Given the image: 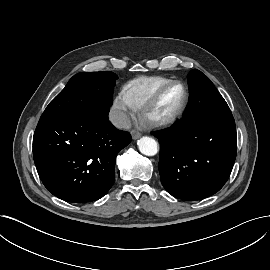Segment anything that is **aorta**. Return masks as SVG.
I'll use <instances>...</instances> for the list:
<instances>
[{
  "label": "aorta",
  "mask_w": 270,
  "mask_h": 270,
  "mask_svg": "<svg viewBox=\"0 0 270 270\" xmlns=\"http://www.w3.org/2000/svg\"><path fill=\"white\" fill-rule=\"evenodd\" d=\"M139 151L146 156H154L158 152V144L155 139L143 136L138 140Z\"/></svg>",
  "instance_id": "1"
}]
</instances>
